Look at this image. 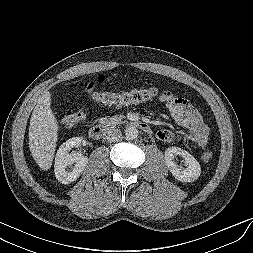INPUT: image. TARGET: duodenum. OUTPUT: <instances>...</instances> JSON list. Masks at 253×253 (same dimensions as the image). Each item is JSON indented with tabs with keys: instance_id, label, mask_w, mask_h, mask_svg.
I'll list each match as a JSON object with an SVG mask.
<instances>
[{
	"instance_id": "duodenum-1",
	"label": "duodenum",
	"mask_w": 253,
	"mask_h": 253,
	"mask_svg": "<svg viewBox=\"0 0 253 253\" xmlns=\"http://www.w3.org/2000/svg\"><path fill=\"white\" fill-rule=\"evenodd\" d=\"M123 122L129 126L135 127L141 131H143L146 134H151L152 129L151 127L140 120H123ZM109 130V125L105 123H98L93 125L89 130V135L91 138L98 140L103 138Z\"/></svg>"
}]
</instances>
